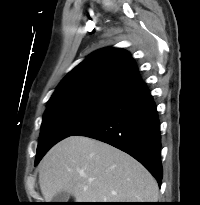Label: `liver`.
Masks as SVG:
<instances>
[{
	"label": "liver",
	"mask_w": 200,
	"mask_h": 205,
	"mask_svg": "<svg viewBox=\"0 0 200 205\" xmlns=\"http://www.w3.org/2000/svg\"><path fill=\"white\" fill-rule=\"evenodd\" d=\"M46 202L65 191L76 202H156L153 176L134 158L104 142L70 136L53 146L39 164Z\"/></svg>",
	"instance_id": "1"
}]
</instances>
